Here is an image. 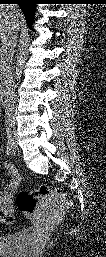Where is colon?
Masks as SVG:
<instances>
[{"label": "colon", "instance_id": "5ec220e1", "mask_svg": "<svg viewBox=\"0 0 106 257\" xmlns=\"http://www.w3.org/2000/svg\"><path fill=\"white\" fill-rule=\"evenodd\" d=\"M52 200L69 206L70 200L59 189L41 186L31 191H20L16 196L18 210L26 217H32L39 208H45Z\"/></svg>", "mask_w": 106, "mask_h": 257}]
</instances>
